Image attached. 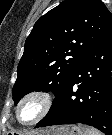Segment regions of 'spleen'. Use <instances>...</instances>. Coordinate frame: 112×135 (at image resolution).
Masks as SVG:
<instances>
[{
    "mask_svg": "<svg viewBox=\"0 0 112 135\" xmlns=\"http://www.w3.org/2000/svg\"><path fill=\"white\" fill-rule=\"evenodd\" d=\"M84 135H103V134L94 128L86 127L84 129Z\"/></svg>",
    "mask_w": 112,
    "mask_h": 135,
    "instance_id": "spleen-1",
    "label": "spleen"
}]
</instances>
